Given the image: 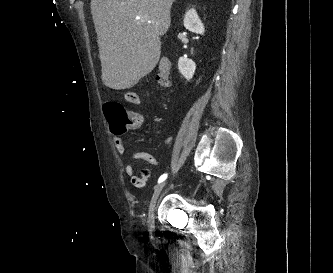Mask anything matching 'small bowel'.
Masks as SVG:
<instances>
[{"mask_svg": "<svg viewBox=\"0 0 333 273\" xmlns=\"http://www.w3.org/2000/svg\"><path fill=\"white\" fill-rule=\"evenodd\" d=\"M125 99L129 103L135 104L136 106H141L140 97L134 92L128 93L126 95ZM132 117L136 118V122L134 124H132L131 126H129L128 129H138L143 124V121H144L143 118L146 117V112L145 111H133L132 112ZM112 134H113L114 145H115V148H116L117 152L121 155L126 154V148H125V146L123 144V140H122V132H117V131L112 130ZM128 158L130 160L144 161V162L149 163L151 165H158L159 164V160L152 153L147 152V151L132 152L128 155ZM124 169H125V173L132 177L133 184L136 187H142L143 186L142 184L138 183V181L136 179V176H134L135 166H134L133 163L126 164Z\"/></svg>", "mask_w": 333, "mask_h": 273, "instance_id": "1", "label": "small bowel"}]
</instances>
